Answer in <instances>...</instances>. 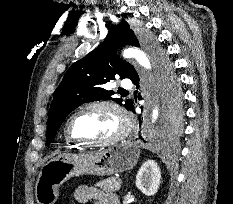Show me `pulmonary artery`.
<instances>
[{"instance_id":"pulmonary-artery-1","label":"pulmonary artery","mask_w":233,"mask_h":204,"mask_svg":"<svg viewBox=\"0 0 233 204\" xmlns=\"http://www.w3.org/2000/svg\"><path fill=\"white\" fill-rule=\"evenodd\" d=\"M121 86L126 89H130L132 87V82L130 79H123L121 81Z\"/></svg>"}]
</instances>
